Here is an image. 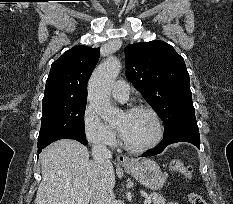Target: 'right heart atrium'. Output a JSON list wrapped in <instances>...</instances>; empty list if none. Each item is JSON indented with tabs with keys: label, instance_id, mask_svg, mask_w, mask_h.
<instances>
[{
	"label": "right heart atrium",
	"instance_id": "right-heart-atrium-1",
	"mask_svg": "<svg viewBox=\"0 0 233 204\" xmlns=\"http://www.w3.org/2000/svg\"><path fill=\"white\" fill-rule=\"evenodd\" d=\"M82 128L85 138L94 146L112 147L116 144L115 130L100 118L91 105H87L84 109Z\"/></svg>",
	"mask_w": 233,
	"mask_h": 204
}]
</instances>
